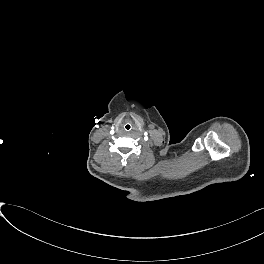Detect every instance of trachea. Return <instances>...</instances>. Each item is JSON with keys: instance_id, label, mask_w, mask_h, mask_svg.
I'll list each match as a JSON object with an SVG mask.
<instances>
[{"instance_id": "trachea-1", "label": "trachea", "mask_w": 264, "mask_h": 264, "mask_svg": "<svg viewBox=\"0 0 264 264\" xmlns=\"http://www.w3.org/2000/svg\"><path fill=\"white\" fill-rule=\"evenodd\" d=\"M132 128H133V126H132V124L130 122H125L123 124V130L125 132H130L132 130Z\"/></svg>"}]
</instances>
